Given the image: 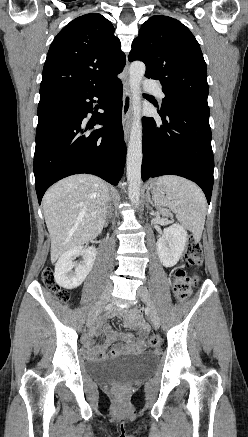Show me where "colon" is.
<instances>
[{
	"mask_svg": "<svg viewBox=\"0 0 248 437\" xmlns=\"http://www.w3.org/2000/svg\"><path fill=\"white\" fill-rule=\"evenodd\" d=\"M202 263V247L201 244L194 240L190 239L187 243L186 253H185V266L192 267L198 266ZM42 279L45 286L52 293L55 294L58 300L61 302H68L69 295L66 291L61 290L54 280V273L50 267H47L43 270ZM198 281V277L196 275L188 276L184 269H178L174 274V283H173V292L175 297L184 301L189 293L191 286L196 284ZM147 345L150 349H156L160 345V339L156 336H152L149 338ZM116 396L118 398L124 397V391L122 389H116Z\"/></svg>",
	"mask_w": 248,
	"mask_h": 437,
	"instance_id": "1",
	"label": "colon"
}]
</instances>
